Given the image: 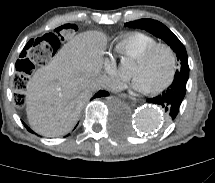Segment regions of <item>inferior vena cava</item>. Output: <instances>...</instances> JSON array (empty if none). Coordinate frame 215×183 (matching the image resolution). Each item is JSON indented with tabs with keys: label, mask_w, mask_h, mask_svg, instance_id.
Here are the masks:
<instances>
[{
	"label": "inferior vena cava",
	"mask_w": 215,
	"mask_h": 183,
	"mask_svg": "<svg viewBox=\"0 0 215 183\" xmlns=\"http://www.w3.org/2000/svg\"><path fill=\"white\" fill-rule=\"evenodd\" d=\"M110 86H111V80L107 76H101L91 84V88L94 90H97L101 87L110 88Z\"/></svg>",
	"instance_id": "obj_1"
}]
</instances>
